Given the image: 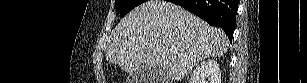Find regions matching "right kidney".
Instances as JSON below:
<instances>
[{"mask_svg":"<svg viewBox=\"0 0 307 83\" xmlns=\"http://www.w3.org/2000/svg\"><path fill=\"white\" fill-rule=\"evenodd\" d=\"M190 83H221V72L215 60H204L194 69Z\"/></svg>","mask_w":307,"mask_h":83,"instance_id":"1","label":"right kidney"}]
</instances>
